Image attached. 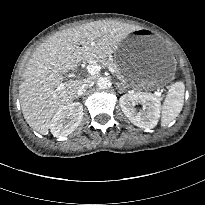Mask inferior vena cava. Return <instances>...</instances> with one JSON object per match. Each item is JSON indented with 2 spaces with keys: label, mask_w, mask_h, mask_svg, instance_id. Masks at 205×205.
Instances as JSON below:
<instances>
[{
  "label": "inferior vena cava",
  "mask_w": 205,
  "mask_h": 205,
  "mask_svg": "<svg viewBox=\"0 0 205 205\" xmlns=\"http://www.w3.org/2000/svg\"><path fill=\"white\" fill-rule=\"evenodd\" d=\"M92 80L91 79H84L82 81V83L80 84V86L78 87V90H77V94L78 95H83L88 88H90L92 86Z\"/></svg>",
  "instance_id": "obj_1"
}]
</instances>
